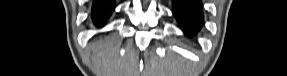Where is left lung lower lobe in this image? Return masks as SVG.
Masks as SVG:
<instances>
[{
	"instance_id": "1",
	"label": "left lung lower lobe",
	"mask_w": 287,
	"mask_h": 76,
	"mask_svg": "<svg viewBox=\"0 0 287 76\" xmlns=\"http://www.w3.org/2000/svg\"><path fill=\"white\" fill-rule=\"evenodd\" d=\"M173 13L185 34L192 36L201 28V0H173Z\"/></svg>"
}]
</instances>
